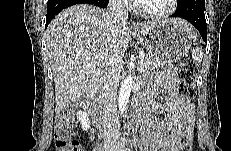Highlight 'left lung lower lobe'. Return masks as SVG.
<instances>
[{"instance_id": "1", "label": "left lung lower lobe", "mask_w": 231, "mask_h": 151, "mask_svg": "<svg viewBox=\"0 0 231 151\" xmlns=\"http://www.w3.org/2000/svg\"><path fill=\"white\" fill-rule=\"evenodd\" d=\"M205 0H182L171 17H180L189 21L207 42L206 20L204 14Z\"/></svg>"}]
</instances>
